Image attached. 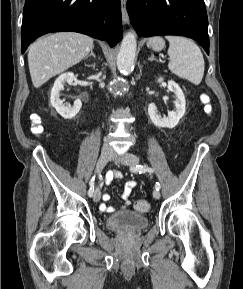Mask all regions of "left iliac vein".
I'll return each instance as SVG.
<instances>
[{"mask_svg": "<svg viewBox=\"0 0 243 289\" xmlns=\"http://www.w3.org/2000/svg\"><path fill=\"white\" fill-rule=\"evenodd\" d=\"M138 162H139V159H138V157H137L136 155H134V154L127 153V154H125L124 157H123V163L126 164V165H128V166H130L131 169L135 168L136 165L138 164ZM160 196H161V195H160L159 190H156V189H155V190L153 191V197H154L155 199H159Z\"/></svg>", "mask_w": 243, "mask_h": 289, "instance_id": "obj_1", "label": "left iliac vein"}]
</instances>
